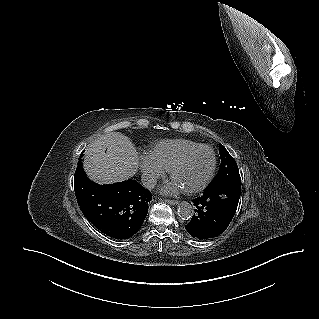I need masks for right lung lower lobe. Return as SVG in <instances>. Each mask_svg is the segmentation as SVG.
I'll use <instances>...</instances> for the list:
<instances>
[{
	"mask_svg": "<svg viewBox=\"0 0 319 319\" xmlns=\"http://www.w3.org/2000/svg\"><path fill=\"white\" fill-rule=\"evenodd\" d=\"M74 190L84 216L98 230L115 239H127L142 226L152 199L135 180L98 185L86 176L81 160L74 175Z\"/></svg>",
	"mask_w": 319,
	"mask_h": 319,
	"instance_id": "1",
	"label": "right lung lower lobe"
}]
</instances>
